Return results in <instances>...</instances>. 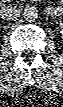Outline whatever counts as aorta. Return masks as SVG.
<instances>
[{"mask_svg":"<svg viewBox=\"0 0 63 107\" xmlns=\"http://www.w3.org/2000/svg\"><path fill=\"white\" fill-rule=\"evenodd\" d=\"M39 16L38 10L34 6H27L23 10V18L28 22H34Z\"/></svg>","mask_w":63,"mask_h":107,"instance_id":"aorta-1","label":"aorta"}]
</instances>
